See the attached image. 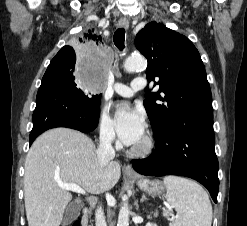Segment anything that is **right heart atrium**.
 <instances>
[{
  "label": "right heart atrium",
  "mask_w": 247,
  "mask_h": 226,
  "mask_svg": "<svg viewBox=\"0 0 247 226\" xmlns=\"http://www.w3.org/2000/svg\"><path fill=\"white\" fill-rule=\"evenodd\" d=\"M98 131L100 138L104 142L111 143L115 140L114 124L107 110H103L100 114L98 121Z\"/></svg>",
  "instance_id": "1"
}]
</instances>
